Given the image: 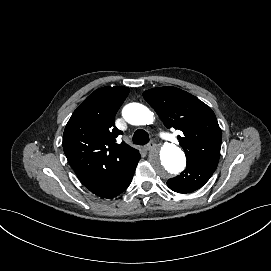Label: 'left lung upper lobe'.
<instances>
[{"instance_id": "1", "label": "left lung upper lobe", "mask_w": 271, "mask_h": 271, "mask_svg": "<svg viewBox=\"0 0 271 271\" xmlns=\"http://www.w3.org/2000/svg\"><path fill=\"white\" fill-rule=\"evenodd\" d=\"M167 128L183 132L178 136L187 163L209 161L217 166L222 134L216 116L209 106L179 88L164 86L143 93Z\"/></svg>"}]
</instances>
